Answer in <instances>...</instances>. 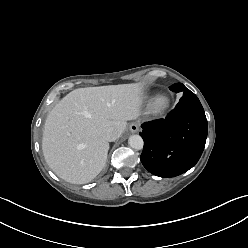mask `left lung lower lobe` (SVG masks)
Listing matches in <instances>:
<instances>
[{"instance_id": "left-lung-lower-lobe-1", "label": "left lung lower lobe", "mask_w": 248, "mask_h": 248, "mask_svg": "<svg viewBox=\"0 0 248 248\" xmlns=\"http://www.w3.org/2000/svg\"><path fill=\"white\" fill-rule=\"evenodd\" d=\"M143 166L159 177H175L199 160L207 138V119L197 96L183 92L176 107L165 119L144 123Z\"/></svg>"}]
</instances>
